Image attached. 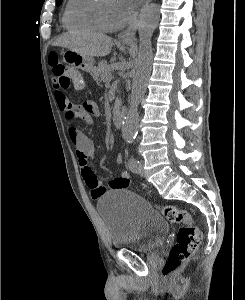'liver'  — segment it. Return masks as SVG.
<instances>
[{
  "mask_svg": "<svg viewBox=\"0 0 245 300\" xmlns=\"http://www.w3.org/2000/svg\"><path fill=\"white\" fill-rule=\"evenodd\" d=\"M54 46H61L88 57H104L111 52L112 38L99 33H66Z\"/></svg>",
  "mask_w": 245,
  "mask_h": 300,
  "instance_id": "obj_1",
  "label": "liver"
}]
</instances>
